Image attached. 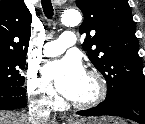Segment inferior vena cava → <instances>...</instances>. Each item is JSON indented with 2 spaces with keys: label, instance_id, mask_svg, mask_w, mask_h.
Listing matches in <instances>:
<instances>
[{
  "label": "inferior vena cava",
  "instance_id": "inferior-vena-cava-1",
  "mask_svg": "<svg viewBox=\"0 0 145 124\" xmlns=\"http://www.w3.org/2000/svg\"><path fill=\"white\" fill-rule=\"evenodd\" d=\"M41 106H42V103L38 102V107H40V109L29 112L28 119L31 124H42L49 118V114L46 113L41 108Z\"/></svg>",
  "mask_w": 145,
  "mask_h": 124
}]
</instances>
